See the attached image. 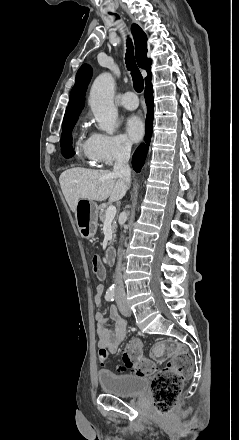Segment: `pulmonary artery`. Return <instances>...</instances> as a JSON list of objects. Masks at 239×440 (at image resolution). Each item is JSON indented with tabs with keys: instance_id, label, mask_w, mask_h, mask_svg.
Instances as JSON below:
<instances>
[{
	"instance_id": "e3ab8cb5",
	"label": "pulmonary artery",
	"mask_w": 239,
	"mask_h": 440,
	"mask_svg": "<svg viewBox=\"0 0 239 440\" xmlns=\"http://www.w3.org/2000/svg\"><path fill=\"white\" fill-rule=\"evenodd\" d=\"M133 96H135L134 92H126L125 94H123L119 99L120 105L128 110L136 109L138 107L139 103L133 102L130 100V98Z\"/></svg>"
}]
</instances>
